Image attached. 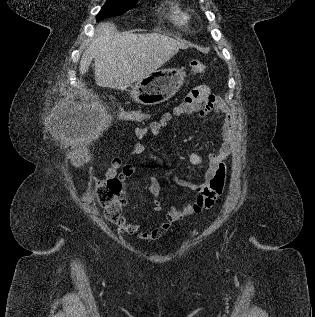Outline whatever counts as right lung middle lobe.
<instances>
[{
    "mask_svg": "<svg viewBox=\"0 0 315 317\" xmlns=\"http://www.w3.org/2000/svg\"><path fill=\"white\" fill-rule=\"evenodd\" d=\"M136 1L137 0H107L97 15V21L124 14L136 4Z\"/></svg>",
    "mask_w": 315,
    "mask_h": 317,
    "instance_id": "right-lung-middle-lobe-1",
    "label": "right lung middle lobe"
}]
</instances>
